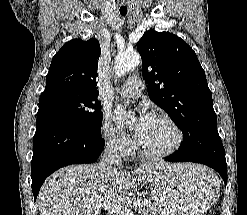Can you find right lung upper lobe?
I'll list each match as a JSON object with an SVG mask.
<instances>
[{
  "instance_id": "1",
  "label": "right lung upper lobe",
  "mask_w": 247,
  "mask_h": 215,
  "mask_svg": "<svg viewBox=\"0 0 247 215\" xmlns=\"http://www.w3.org/2000/svg\"><path fill=\"white\" fill-rule=\"evenodd\" d=\"M100 54V44L96 39H73L66 42L52 59L45 91L67 88L98 95L96 70Z\"/></svg>"
}]
</instances>
